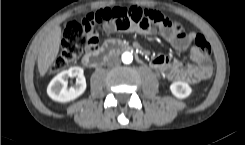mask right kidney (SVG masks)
<instances>
[{"label": "right kidney", "mask_w": 245, "mask_h": 145, "mask_svg": "<svg viewBox=\"0 0 245 145\" xmlns=\"http://www.w3.org/2000/svg\"><path fill=\"white\" fill-rule=\"evenodd\" d=\"M83 72L81 67L74 66L56 75L47 87L48 96L58 102H69L78 98L86 90V80ZM69 77H77L74 86H67Z\"/></svg>", "instance_id": "obj_1"}]
</instances>
